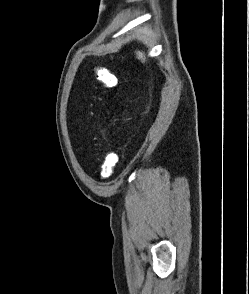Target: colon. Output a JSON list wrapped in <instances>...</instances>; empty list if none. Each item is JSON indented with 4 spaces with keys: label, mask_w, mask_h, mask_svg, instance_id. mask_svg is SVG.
Listing matches in <instances>:
<instances>
[{
    "label": "colon",
    "mask_w": 249,
    "mask_h": 294,
    "mask_svg": "<svg viewBox=\"0 0 249 294\" xmlns=\"http://www.w3.org/2000/svg\"><path fill=\"white\" fill-rule=\"evenodd\" d=\"M96 75H97L98 81L105 89L114 88L118 82L117 77L108 71L104 73L97 71ZM117 162H118V155L116 153L109 154L103 162L101 172H100L101 177L104 179L110 177L111 174L113 173V170Z\"/></svg>",
    "instance_id": "obj_1"
}]
</instances>
